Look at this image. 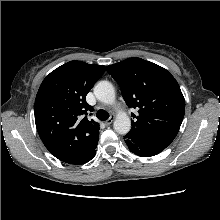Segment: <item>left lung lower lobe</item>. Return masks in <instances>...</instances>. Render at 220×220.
<instances>
[{
    "mask_svg": "<svg viewBox=\"0 0 220 220\" xmlns=\"http://www.w3.org/2000/svg\"><path fill=\"white\" fill-rule=\"evenodd\" d=\"M124 139L130 151L141 157L154 156L164 150V148L152 147L144 144L134 143L132 139L129 138L127 135L124 137Z\"/></svg>",
    "mask_w": 220,
    "mask_h": 220,
    "instance_id": "obj_1",
    "label": "left lung lower lobe"
}]
</instances>
